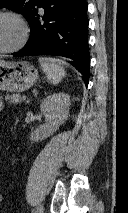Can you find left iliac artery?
Here are the masks:
<instances>
[{
    "label": "left iliac artery",
    "mask_w": 128,
    "mask_h": 213,
    "mask_svg": "<svg viewBox=\"0 0 128 213\" xmlns=\"http://www.w3.org/2000/svg\"><path fill=\"white\" fill-rule=\"evenodd\" d=\"M43 206H41V205H39L38 207H37V211H36V213H43Z\"/></svg>",
    "instance_id": "left-iliac-artery-1"
}]
</instances>
